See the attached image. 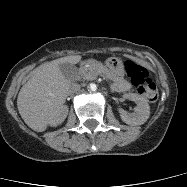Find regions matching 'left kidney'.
Here are the masks:
<instances>
[{
    "mask_svg": "<svg viewBox=\"0 0 187 187\" xmlns=\"http://www.w3.org/2000/svg\"><path fill=\"white\" fill-rule=\"evenodd\" d=\"M125 99L134 101L136 107L133 113L127 114L124 111L121 112V119L130 125H141L144 124L149 118L150 108L147 100L140 95L134 93H128L124 95Z\"/></svg>",
    "mask_w": 187,
    "mask_h": 187,
    "instance_id": "5707ae66",
    "label": "left kidney"
}]
</instances>
